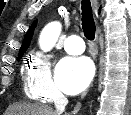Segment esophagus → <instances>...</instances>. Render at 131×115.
Returning a JSON list of instances; mask_svg holds the SVG:
<instances>
[{"label":"esophagus","mask_w":131,"mask_h":115,"mask_svg":"<svg viewBox=\"0 0 131 115\" xmlns=\"http://www.w3.org/2000/svg\"><path fill=\"white\" fill-rule=\"evenodd\" d=\"M95 15L98 18V12H97V7L95 8ZM99 73V72H98Z\"/></svg>","instance_id":"esophagus-1"}]
</instances>
